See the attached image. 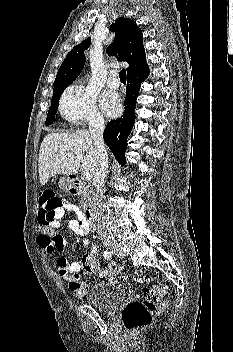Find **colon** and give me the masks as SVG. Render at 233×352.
<instances>
[{
  "label": "colon",
  "instance_id": "obj_1",
  "mask_svg": "<svg viewBox=\"0 0 233 352\" xmlns=\"http://www.w3.org/2000/svg\"><path fill=\"white\" fill-rule=\"evenodd\" d=\"M40 237L57 244L63 243L62 235L50 225L49 221H39ZM83 269L81 272L73 274L69 278V288L79 299H83L88 294V285L84 276L100 272L103 277L116 278L120 275V267L116 264H105L101 267L99 258L94 253L85 254L82 258ZM140 283H148V277L139 274ZM142 300L129 302L122 310V321L128 330H137L151 323L153 317L168 306V302L162 300L166 286L157 284L154 286H142Z\"/></svg>",
  "mask_w": 233,
  "mask_h": 352
}]
</instances>
